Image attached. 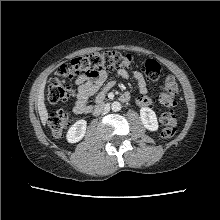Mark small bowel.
<instances>
[{"mask_svg":"<svg viewBox=\"0 0 220 220\" xmlns=\"http://www.w3.org/2000/svg\"><path fill=\"white\" fill-rule=\"evenodd\" d=\"M117 74L121 78H128V72L124 69H119ZM134 78L137 81L139 96L136 102L139 106H149L152 104V99L146 96L147 94V84L143 75L135 71ZM107 79V72L105 70H97L93 75L80 74L76 78V84L78 86V91L74 103V113L76 114H88L92 111L93 106L89 103V98L98 93L102 85ZM115 82L110 80L106 83L103 90L99 92L95 98V102L99 103L103 100L104 94L113 88Z\"/></svg>","mask_w":220,"mask_h":220,"instance_id":"c3829d8e","label":"small bowel"}]
</instances>
